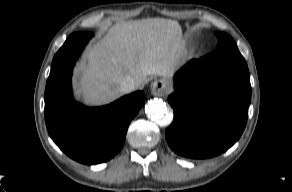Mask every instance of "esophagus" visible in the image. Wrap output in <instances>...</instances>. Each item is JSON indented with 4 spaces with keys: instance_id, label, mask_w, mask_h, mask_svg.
I'll return each instance as SVG.
<instances>
[{
    "instance_id": "34e87169",
    "label": "esophagus",
    "mask_w": 292,
    "mask_h": 192,
    "mask_svg": "<svg viewBox=\"0 0 292 192\" xmlns=\"http://www.w3.org/2000/svg\"><path fill=\"white\" fill-rule=\"evenodd\" d=\"M166 89L167 82L163 79H158L151 83V92L154 96H162Z\"/></svg>"
}]
</instances>
